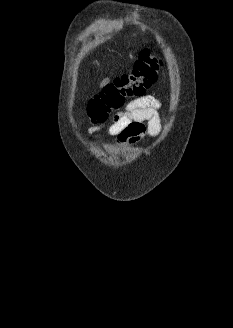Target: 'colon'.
Segmentation results:
<instances>
[{"instance_id": "colon-1", "label": "colon", "mask_w": 233, "mask_h": 328, "mask_svg": "<svg viewBox=\"0 0 233 328\" xmlns=\"http://www.w3.org/2000/svg\"><path fill=\"white\" fill-rule=\"evenodd\" d=\"M161 61L152 49H144L131 71L121 74L96 94L88 105V115L95 123H103L115 110L121 108L126 98L143 96L156 81Z\"/></svg>"}]
</instances>
